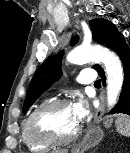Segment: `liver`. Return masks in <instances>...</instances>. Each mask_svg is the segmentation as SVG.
Masks as SVG:
<instances>
[{
  "label": "liver",
  "mask_w": 130,
  "mask_h": 153,
  "mask_svg": "<svg viewBox=\"0 0 130 153\" xmlns=\"http://www.w3.org/2000/svg\"><path fill=\"white\" fill-rule=\"evenodd\" d=\"M59 153H68V151L67 150H62Z\"/></svg>",
  "instance_id": "obj_1"
}]
</instances>
